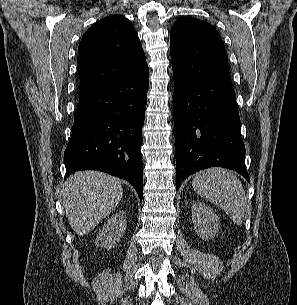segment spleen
Wrapping results in <instances>:
<instances>
[{
    "mask_svg": "<svg viewBox=\"0 0 297 305\" xmlns=\"http://www.w3.org/2000/svg\"><path fill=\"white\" fill-rule=\"evenodd\" d=\"M192 186L201 197L220 206L234 223H243L246 196L241 182L230 170H203L195 175Z\"/></svg>",
    "mask_w": 297,
    "mask_h": 305,
    "instance_id": "spleen-1",
    "label": "spleen"
}]
</instances>
